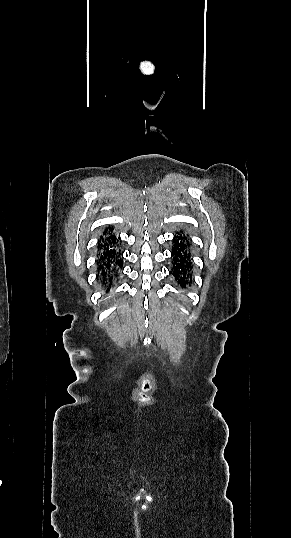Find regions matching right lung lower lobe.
Returning a JSON list of instances; mask_svg holds the SVG:
<instances>
[{
    "instance_id": "98d812e1",
    "label": "right lung lower lobe",
    "mask_w": 291,
    "mask_h": 538,
    "mask_svg": "<svg viewBox=\"0 0 291 538\" xmlns=\"http://www.w3.org/2000/svg\"><path fill=\"white\" fill-rule=\"evenodd\" d=\"M119 240L109 231L104 232L98 248L100 249L97 261L98 277L102 284L110 285L118 277L119 269L122 267V259Z\"/></svg>"
}]
</instances>
